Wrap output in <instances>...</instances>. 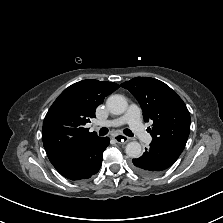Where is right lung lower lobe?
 I'll use <instances>...</instances> for the list:
<instances>
[{"label": "right lung lower lobe", "mask_w": 223, "mask_h": 223, "mask_svg": "<svg viewBox=\"0 0 223 223\" xmlns=\"http://www.w3.org/2000/svg\"><path fill=\"white\" fill-rule=\"evenodd\" d=\"M108 137H98L84 149L52 163L56 170L70 180L88 179L102 165V154L109 145Z\"/></svg>", "instance_id": "obj_1"}]
</instances>
